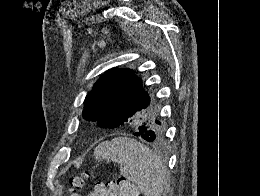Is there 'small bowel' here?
<instances>
[{"label": "small bowel", "instance_id": "1", "mask_svg": "<svg viewBox=\"0 0 260 196\" xmlns=\"http://www.w3.org/2000/svg\"><path fill=\"white\" fill-rule=\"evenodd\" d=\"M98 184H101V183H98ZM97 185L94 187V189L91 192H89L90 196H105L102 192H100L98 190V186Z\"/></svg>", "mask_w": 260, "mask_h": 196}]
</instances>
